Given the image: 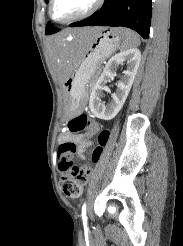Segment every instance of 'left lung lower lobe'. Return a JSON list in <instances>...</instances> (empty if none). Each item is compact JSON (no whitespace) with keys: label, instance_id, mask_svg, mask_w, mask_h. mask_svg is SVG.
I'll return each mask as SVG.
<instances>
[{"label":"left lung lower lobe","instance_id":"obj_1","mask_svg":"<svg viewBox=\"0 0 183 246\" xmlns=\"http://www.w3.org/2000/svg\"><path fill=\"white\" fill-rule=\"evenodd\" d=\"M151 16V0H105L98 12L82 21L72 23L70 27L122 26L131 28L144 39H148Z\"/></svg>","mask_w":183,"mask_h":246}]
</instances>
